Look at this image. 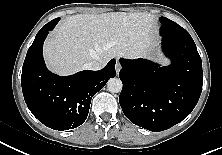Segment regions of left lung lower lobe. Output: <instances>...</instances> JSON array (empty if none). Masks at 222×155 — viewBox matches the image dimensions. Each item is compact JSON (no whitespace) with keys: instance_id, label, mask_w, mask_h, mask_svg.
<instances>
[{"instance_id":"obj_1","label":"left lung lower lobe","mask_w":222,"mask_h":155,"mask_svg":"<svg viewBox=\"0 0 222 155\" xmlns=\"http://www.w3.org/2000/svg\"><path fill=\"white\" fill-rule=\"evenodd\" d=\"M167 67L143 59H120L121 108L134 124L163 131L185 119L202 91L201 57L191 36L162 35Z\"/></svg>"}]
</instances>
